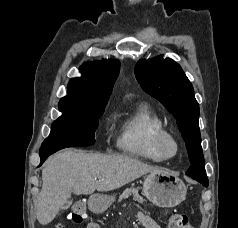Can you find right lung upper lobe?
Masks as SVG:
<instances>
[{
  "instance_id": "cb5924a9",
  "label": "right lung upper lobe",
  "mask_w": 238,
  "mask_h": 228,
  "mask_svg": "<svg viewBox=\"0 0 238 228\" xmlns=\"http://www.w3.org/2000/svg\"><path fill=\"white\" fill-rule=\"evenodd\" d=\"M119 69L120 63L114 60L84 63L82 77L69 81L68 95L60 100L59 110L88 112L107 103Z\"/></svg>"
}]
</instances>
